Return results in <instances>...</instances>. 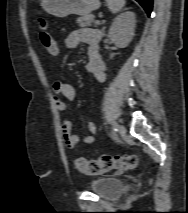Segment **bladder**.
<instances>
[{
    "label": "bladder",
    "mask_w": 188,
    "mask_h": 213,
    "mask_svg": "<svg viewBox=\"0 0 188 213\" xmlns=\"http://www.w3.org/2000/svg\"><path fill=\"white\" fill-rule=\"evenodd\" d=\"M89 189L105 199H115L125 189L123 180L117 177H98L88 183Z\"/></svg>",
    "instance_id": "1"
}]
</instances>
